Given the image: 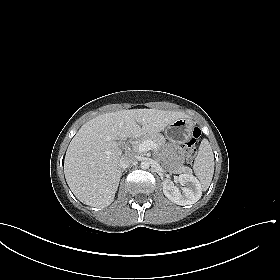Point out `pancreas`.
I'll use <instances>...</instances> for the list:
<instances>
[{
    "label": "pancreas",
    "instance_id": "cf45deb5",
    "mask_svg": "<svg viewBox=\"0 0 280 280\" xmlns=\"http://www.w3.org/2000/svg\"><path fill=\"white\" fill-rule=\"evenodd\" d=\"M146 140H151V141L155 142L157 146H161L165 143V139L161 134H146V135L142 136L141 138H139L137 143L134 144V146L136 148H138V146ZM178 172L189 173V172H191V170L189 167L180 166L178 168Z\"/></svg>",
    "mask_w": 280,
    "mask_h": 280
}]
</instances>
